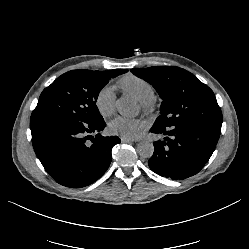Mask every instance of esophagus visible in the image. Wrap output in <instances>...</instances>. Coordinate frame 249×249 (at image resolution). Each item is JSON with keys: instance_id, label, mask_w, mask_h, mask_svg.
Wrapping results in <instances>:
<instances>
[{"instance_id": "1", "label": "esophagus", "mask_w": 249, "mask_h": 249, "mask_svg": "<svg viewBox=\"0 0 249 249\" xmlns=\"http://www.w3.org/2000/svg\"><path fill=\"white\" fill-rule=\"evenodd\" d=\"M121 142L122 143H132L133 140L130 138H126V137H121Z\"/></svg>"}]
</instances>
